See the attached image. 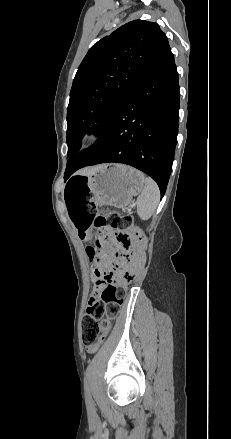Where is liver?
<instances>
[{"instance_id": "obj_1", "label": "liver", "mask_w": 231, "mask_h": 439, "mask_svg": "<svg viewBox=\"0 0 231 439\" xmlns=\"http://www.w3.org/2000/svg\"><path fill=\"white\" fill-rule=\"evenodd\" d=\"M103 165H99V166H95V167H90V168H85L82 169L78 172V174L81 175H90L92 173H94L96 170H98L99 168H101Z\"/></svg>"}]
</instances>
